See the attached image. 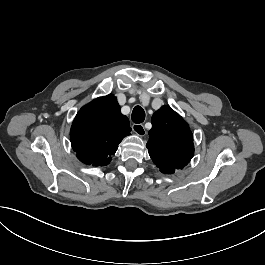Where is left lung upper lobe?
<instances>
[{
    "instance_id": "1",
    "label": "left lung upper lobe",
    "mask_w": 265,
    "mask_h": 265,
    "mask_svg": "<svg viewBox=\"0 0 265 265\" xmlns=\"http://www.w3.org/2000/svg\"><path fill=\"white\" fill-rule=\"evenodd\" d=\"M151 123L147 148L154 164L165 174L183 169L194 154L189 125L167 105L153 114Z\"/></svg>"
}]
</instances>
